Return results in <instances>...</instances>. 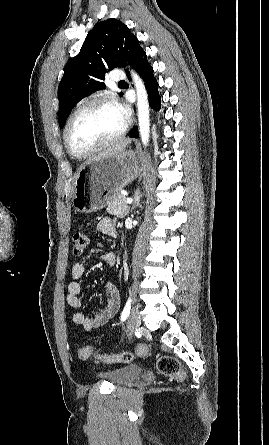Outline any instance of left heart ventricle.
Masks as SVG:
<instances>
[{"instance_id":"left-heart-ventricle-1","label":"left heart ventricle","mask_w":269,"mask_h":445,"mask_svg":"<svg viewBox=\"0 0 269 445\" xmlns=\"http://www.w3.org/2000/svg\"><path fill=\"white\" fill-rule=\"evenodd\" d=\"M126 118L114 105L101 104L81 112L72 122L69 142L77 151H86L115 136Z\"/></svg>"}]
</instances>
